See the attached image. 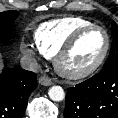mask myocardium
<instances>
[{
    "instance_id": "myocardium-1",
    "label": "myocardium",
    "mask_w": 118,
    "mask_h": 118,
    "mask_svg": "<svg viewBox=\"0 0 118 118\" xmlns=\"http://www.w3.org/2000/svg\"><path fill=\"white\" fill-rule=\"evenodd\" d=\"M92 30H100L103 32L105 36L106 44L102 55L93 65H91L86 69L79 70V71L68 70L63 65L65 58L69 55V53L72 51V49L75 47L77 42L81 39V37L87 32H90ZM110 48H111V38L108 31L104 27L96 24L85 26L83 28L78 29L76 32H74L71 35V37L63 44L60 50L57 52L56 56L54 57L55 70L60 76L66 79L77 80V79L85 78L93 74L94 72H96L103 65V63L105 62L109 54Z\"/></svg>"
}]
</instances>
